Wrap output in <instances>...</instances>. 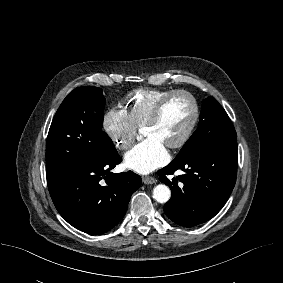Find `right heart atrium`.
I'll use <instances>...</instances> for the list:
<instances>
[{
    "label": "right heart atrium",
    "instance_id": "right-heart-atrium-1",
    "mask_svg": "<svg viewBox=\"0 0 283 283\" xmlns=\"http://www.w3.org/2000/svg\"><path fill=\"white\" fill-rule=\"evenodd\" d=\"M103 129L121 151L132 147L137 128L124 110L111 108L103 116Z\"/></svg>",
    "mask_w": 283,
    "mask_h": 283
}]
</instances>
